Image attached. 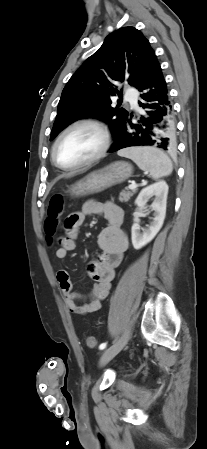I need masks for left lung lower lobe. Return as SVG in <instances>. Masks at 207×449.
Here are the masks:
<instances>
[{
	"label": "left lung lower lobe",
	"instance_id": "1",
	"mask_svg": "<svg viewBox=\"0 0 207 449\" xmlns=\"http://www.w3.org/2000/svg\"><path fill=\"white\" fill-rule=\"evenodd\" d=\"M143 92L139 101L145 109L139 124L126 119L109 152L130 146H155L174 151L176 147V126L171 96L158 60L151 66L148 75L138 88Z\"/></svg>",
	"mask_w": 207,
	"mask_h": 449
}]
</instances>
